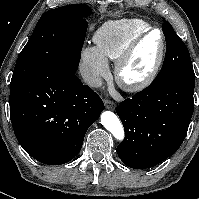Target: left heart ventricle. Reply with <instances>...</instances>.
I'll list each match as a JSON object with an SVG mask.
<instances>
[{"instance_id":"left-heart-ventricle-1","label":"left heart ventricle","mask_w":199,"mask_h":199,"mask_svg":"<svg viewBox=\"0 0 199 199\" xmlns=\"http://www.w3.org/2000/svg\"><path fill=\"white\" fill-rule=\"evenodd\" d=\"M161 46V36L153 32L137 47L125 68V75L130 80L144 77L153 67Z\"/></svg>"}]
</instances>
